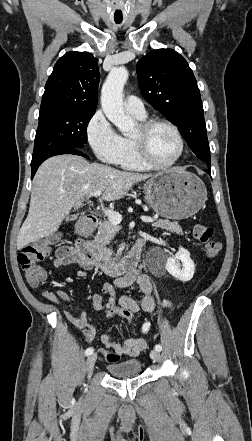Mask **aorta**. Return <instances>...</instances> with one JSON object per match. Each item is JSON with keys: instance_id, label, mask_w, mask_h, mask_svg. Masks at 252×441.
<instances>
[{"instance_id": "1", "label": "aorta", "mask_w": 252, "mask_h": 441, "mask_svg": "<svg viewBox=\"0 0 252 441\" xmlns=\"http://www.w3.org/2000/svg\"><path fill=\"white\" fill-rule=\"evenodd\" d=\"M128 71L125 67L113 68L101 90V106L106 117L116 126L123 134L130 133L135 123L133 119L125 114L123 108V88L128 79ZM124 246L117 251L120 256Z\"/></svg>"}]
</instances>
